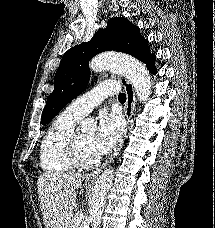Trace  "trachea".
<instances>
[{
    "mask_svg": "<svg viewBox=\"0 0 215 228\" xmlns=\"http://www.w3.org/2000/svg\"><path fill=\"white\" fill-rule=\"evenodd\" d=\"M118 99L120 102H125L126 101V95L125 93H120L118 96Z\"/></svg>",
    "mask_w": 215,
    "mask_h": 228,
    "instance_id": "trachea-1",
    "label": "trachea"
}]
</instances>
